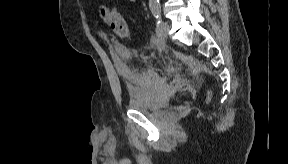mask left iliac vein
I'll return each mask as SVG.
<instances>
[{"label": "left iliac vein", "instance_id": "obj_1", "mask_svg": "<svg viewBox=\"0 0 288 164\" xmlns=\"http://www.w3.org/2000/svg\"><path fill=\"white\" fill-rule=\"evenodd\" d=\"M168 31L169 24L166 21L161 20L160 24L157 27V36L161 42L165 40Z\"/></svg>", "mask_w": 288, "mask_h": 164}]
</instances>
